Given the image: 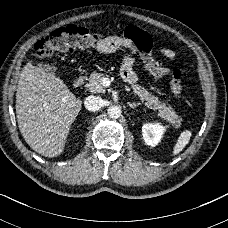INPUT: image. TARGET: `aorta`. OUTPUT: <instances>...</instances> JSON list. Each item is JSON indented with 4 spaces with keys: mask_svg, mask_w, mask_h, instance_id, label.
Returning a JSON list of instances; mask_svg holds the SVG:
<instances>
[{
    "mask_svg": "<svg viewBox=\"0 0 228 228\" xmlns=\"http://www.w3.org/2000/svg\"><path fill=\"white\" fill-rule=\"evenodd\" d=\"M107 113L110 118L117 119L121 116L122 111L121 108L118 106H110L107 110Z\"/></svg>",
    "mask_w": 228,
    "mask_h": 228,
    "instance_id": "1",
    "label": "aorta"
}]
</instances>
